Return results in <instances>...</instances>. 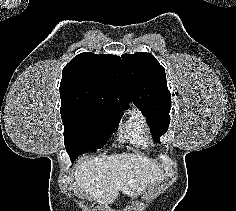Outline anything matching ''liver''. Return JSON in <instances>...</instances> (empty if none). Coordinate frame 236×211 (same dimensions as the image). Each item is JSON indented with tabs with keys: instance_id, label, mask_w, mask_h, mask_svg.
<instances>
[{
	"instance_id": "1",
	"label": "liver",
	"mask_w": 236,
	"mask_h": 211,
	"mask_svg": "<svg viewBox=\"0 0 236 211\" xmlns=\"http://www.w3.org/2000/svg\"><path fill=\"white\" fill-rule=\"evenodd\" d=\"M163 177L151 160L133 153L95 157L81 162L75 171V183L100 205L112 204L119 192L132 199Z\"/></svg>"
}]
</instances>
